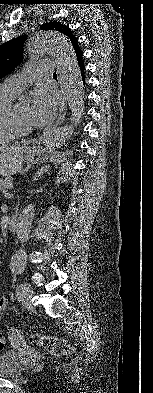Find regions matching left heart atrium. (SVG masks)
I'll return each instance as SVG.
<instances>
[{"label":"left heart atrium","mask_w":153,"mask_h":393,"mask_svg":"<svg viewBox=\"0 0 153 393\" xmlns=\"http://www.w3.org/2000/svg\"><path fill=\"white\" fill-rule=\"evenodd\" d=\"M58 101L55 95L44 89L34 92L29 112L30 125L42 127L53 121L57 113Z\"/></svg>","instance_id":"left-heart-atrium-1"}]
</instances>
